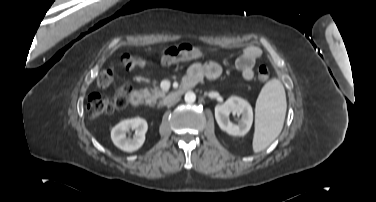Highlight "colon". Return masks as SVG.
Masks as SVG:
<instances>
[{"label":"colon","mask_w":376,"mask_h":202,"mask_svg":"<svg viewBox=\"0 0 376 202\" xmlns=\"http://www.w3.org/2000/svg\"><path fill=\"white\" fill-rule=\"evenodd\" d=\"M202 56L203 52L200 46L183 43L162 51L158 57V61L162 64L169 65L179 61L199 59ZM120 61L121 65L128 71L148 65L152 62L150 58H141L129 54L123 55ZM257 76L261 82L267 81L270 76L268 67L265 65L259 66ZM114 78L115 74L113 69H104L98 76V86L106 88L113 83ZM130 91V85L128 83H123L118 86L111 98L103 97L100 94H91L87 101V115L90 118H95L117 109L124 108L128 103V95Z\"/></svg>","instance_id":"1"}]
</instances>
